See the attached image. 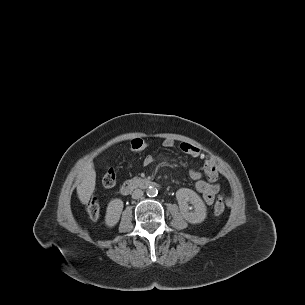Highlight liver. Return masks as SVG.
<instances>
[{
    "label": "liver",
    "instance_id": "1",
    "mask_svg": "<svg viewBox=\"0 0 305 305\" xmlns=\"http://www.w3.org/2000/svg\"><path fill=\"white\" fill-rule=\"evenodd\" d=\"M79 176L82 181L77 186L78 198L82 204H87L94 192L96 184V172L92 161H87L82 168Z\"/></svg>",
    "mask_w": 305,
    "mask_h": 305
}]
</instances>
